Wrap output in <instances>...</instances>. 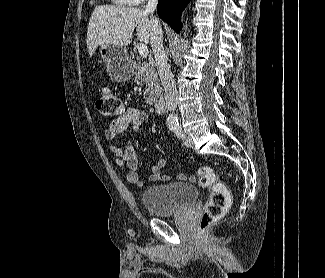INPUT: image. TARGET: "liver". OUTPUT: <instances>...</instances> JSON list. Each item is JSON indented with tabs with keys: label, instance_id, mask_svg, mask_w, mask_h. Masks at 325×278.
<instances>
[{
	"label": "liver",
	"instance_id": "liver-1",
	"mask_svg": "<svg viewBox=\"0 0 325 278\" xmlns=\"http://www.w3.org/2000/svg\"><path fill=\"white\" fill-rule=\"evenodd\" d=\"M137 38L148 43L151 33L149 14L136 7L101 5L95 7L87 31V49L92 56L103 44L126 46L131 43L134 29Z\"/></svg>",
	"mask_w": 325,
	"mask_h": 278
}]
</instances>
